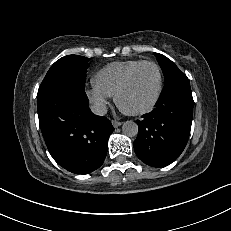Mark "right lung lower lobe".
<instances>
[{
  "instance_id": "obj_1",
  "label": "right lung lower lobe",
  "mask_w": 231,
  "mask_h": 231,
  "mask_svg": "<svg viewBox=\"0 0 231 231\" xmlns=\"http://www.w3.org/2000/svg\"><path fill=\"white\" fill-rule=\"evenodd\" d=\"M84 87L56 84L37 96L40 128L55 161L75 174L99 168L107 153L111 122L90 111Z\"/></svg>"
}]
</instances>
